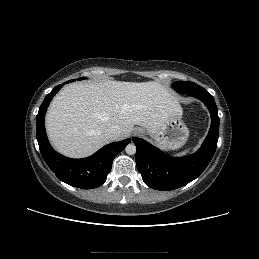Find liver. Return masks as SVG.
<instances>
[{"label": "liver", "mask_w": 259, "mask_h": 259, "mask_svg": "<svg viewBox=\"0 0 259 259\" xmlns=\"http://www.w3.org/2000/svg\"><path fill=\"white\" fill-rule=\"evenodd\" d=\"M179 108L175 94L154 81L72 83L51 102L46 130L57 151L82 158L111 142L105 136L111 125L121 128L117 140L127 138L134 125L153 135Z\"/></svg>", "instance_id": "obj_1"}]
</instances>
